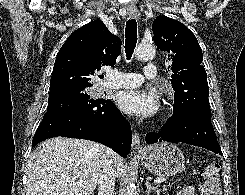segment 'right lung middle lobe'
<instances>
[{"label": "right lung middle lobe", "instance_id": "obj_1", "mask_svg": "<svg viewBox=\"0 0 245 195\" xmlns=\"http://www.w3.org/2000/svg\"><path fill=\"white\" fill-rule=\"evenodd\" d=\"M87 88H69L49 94L47 112L73 104L93 102L94 99H91L86 92Z\"/></svg>", "mask_w": 245, "mask_h": 195}]
</instances>
